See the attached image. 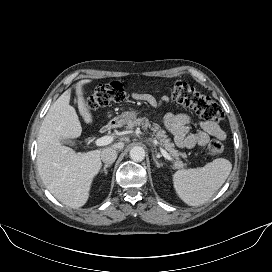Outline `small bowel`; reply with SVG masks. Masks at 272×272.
Masks as SVG:
<instances>
[{
	"mask_svg": "<svg viewBox=\"0 0 272 272\" xmlns=\"http://www.w3.org/2000/svg\"><path fill=\"white\" fill-rule=\"evenodd\" d=\"M158 90H156L157 92ZM131 97L140 102L158 108L167 104L169 99L166 96L160 98L148 93L133 92ZM192 122L190 115L186 113L175 114L167 112L164 116V124L168 132L173 137L174 142L181 148L191 149L196 146H205L211 137L219 140L226 138L225 132L213 121H199L200 130L189 133V124Z\"/></svg>",
	"mask_w": 272,
	"mask_h": 272,
	"instance_id": "c3829d8e",
	"label": "small bowel"
}]
</instances>
